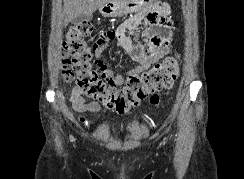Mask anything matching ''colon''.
I'll use <instances>...</instances> for the list:
<instances>
[{"label":"colon","mask_w":244,"mask_h":179,"mask_svg":"<svg viewBox=\"0 0 244 179\" xmlns=\"http://www.w3.org/2000/svg\"><path fill=\"white\" fill-rule=\"evenodd\" d=\"M93 29L92 24L85 22L71 26L65 33L62 73L67 82L74 83L88 97L104 102L108 110L120 115L137 106L145 93L152 94L150 106L159 107L179 75V60L165 58L148 70L129 76L121 88L109 87L98 72L91 48L85 41Z\"/></svg>","instance_id":"obj_1"}]
</instances>
